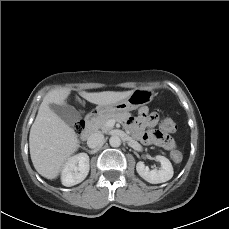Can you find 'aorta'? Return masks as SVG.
<instances>
[{"mask_svg": "<svg viewBox=\"0 0 229 229\" xmlns=\"http://www.w3.org/2000/svg\"><path fill=\"white\" fill-rule=\"evenodd\" d=\"M109 144L112 147H119L121 145V139L118 136L113 135L109 139Z\"/></svg>", "mask_w": 229, "mask_h": 229, "instance_id": "762f6f07", "label": "aorta"}]
</instances>
